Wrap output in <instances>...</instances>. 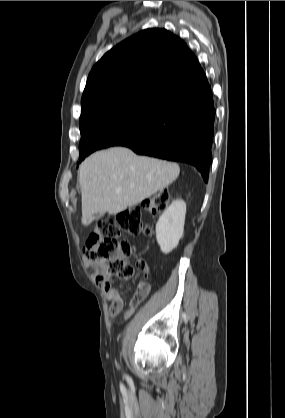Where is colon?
Returning a JSON list of instances; mask_svg holds the SVG:
<instances>
[{"instance_id":"1","label":"colon","mask_w":285,"mask_h":418,"mask_svg":"<svg viewBox=\"0 0 285 418\" xmlns=\"http://www.w3.org/2000/svg\"><path fill=\"white\" fill-rule=\"evenodd\" d=\"M169 194L161 191L150 197L145 203L125 210L117 215V220L104 219L94 224L86 238L84 256L88 263L100 264L101 269L95 277L98 287L106 289L114 285L118 279L131 277L134 266L129 262L134 247L121 240V234L138 235L145 231L142 217L147 213H161L167 204ZM150 285L141 282L135 290L133 299L142 302L149 294Z\"/></svg>"}]
</instances>
